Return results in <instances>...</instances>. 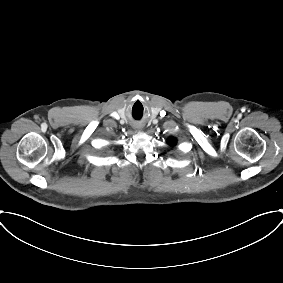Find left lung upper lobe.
<instances>
[{
  "instance_id": "left-lung-upper-lobe-1",
  "label": "left lung upper lobe",
  "mask_w": 283,
  "mask_h": 283,
  "mask_svg": "<svg viewBox=\"0 0 283 283\" xmlns=\"http://www.w3.org/2000/svg\"><path fill=\"white\" fill-rule=\"evenodd\" d=\"M174 141H175V139H169V143H170V144H173Z\"/></svg>"
}]
</instances>
